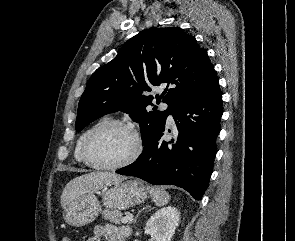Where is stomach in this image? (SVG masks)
<instances>
[{
    "label": "stomach",
    "mask_w": 295,
    "mask_h": 241,
    "mask_svg": "<svg viewBox=\"0 0 295 241\" xmlns=\"http://www.w3.org/2000/svg\"><path fill=\"white\" fill-rule=\"evenodd\" d=\"M148 195L147 188L139 180H122L112 187L103 189V206L109 210H126L143 203ZM102 211V205L92 193L75 199L64 210V220L74 227L93 222Z\"/></svg>",
    "instance_id": "1"
}]
</instances>
